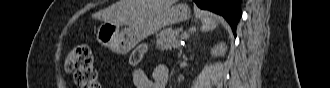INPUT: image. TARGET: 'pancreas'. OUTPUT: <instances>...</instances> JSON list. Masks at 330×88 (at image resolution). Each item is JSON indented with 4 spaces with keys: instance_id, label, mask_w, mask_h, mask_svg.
<instances>
[{
    "instance_id": "obj_1",
    "label": "pancreas",
    "mask_w": 330,
    "mask_h": 88,
    "mask_svg": "<svg viewBox=\"0 0 330 88\" xmlns=\"http://www.w3.org/2000/svg\"><path fill=\"white\" fill-rule=\"evenodd\" d=\"M182 32V29H164L159 34H157V44L156 48H160L162 50H168L172 48L180 47L179 43V35Z\"/></svg>"
}]
</instances>
